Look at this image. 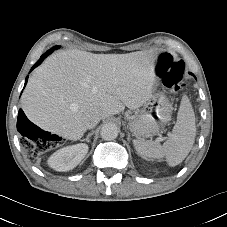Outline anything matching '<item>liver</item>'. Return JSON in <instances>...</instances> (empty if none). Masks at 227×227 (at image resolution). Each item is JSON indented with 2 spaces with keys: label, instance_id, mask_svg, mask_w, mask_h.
<instances>
[{
  "label": "liver",
  "instance_id": "1",
  "mask_svg": "<svg viewBox=\"0 0 227 227\" xmlns=\"http://www.w3.org/2000/svg\"><path fill=\"white\" fill-rule=\"evenodd\" d=\"M158 52L93 54L81 50L49 56L21 97L27 118L45 131L79 140L88 114L101 119L144 105L156 83Z\"/></svg>",
  "mask_w": 227,
  "mask_h": 227
}]
</instances>
